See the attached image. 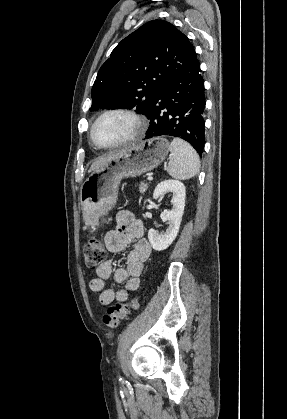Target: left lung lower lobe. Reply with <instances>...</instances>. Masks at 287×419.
<instances>
[{
  "label": "left lung lower lobe",
  "mask_w": 287,
  "mask_h": 419,
  "mask_svg": "<svg viewBox=\"0 0 287 419\" xmlns=\"http://www.w3.org/2000/svg\"><path fill=\"white\" fill-rule=\"evenodd\" d=\"M200 72L196 59L190 67L161 87L146 115L150 119V126L145 139L178 137L189 142L202 155L205 143V89Z\"/></svg>",
  "instance_id": "0a47b994"
}]
</instances>
